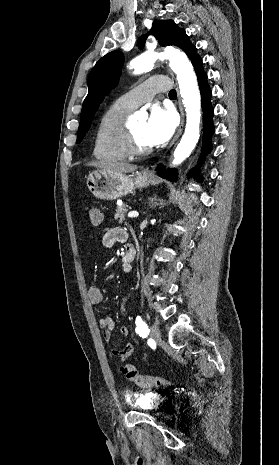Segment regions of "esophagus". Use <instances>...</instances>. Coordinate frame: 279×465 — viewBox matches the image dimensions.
<instances>
[{"mask_svg":"<svg viewBox=\"0 0 279 465\" xmlns=\"http://www.w3.org/2000/svg\"><path fill=\"white\" fill-rule=\"evenodd\" d=\"M178 98H179V109H180V113H181V124H180L179 129H178L174 139L172 140L170 146L179 138L180 134L182 133L183 126H184V109H183V105H182L181 99L179 97V94H178ZM144 174L151 175L152 171L149 170V169H146L144 171Z\"/></svg>","mask_w":279,"mask_h":465,"instance_id":"34e87169","label":"esophagus"}]
</instances>
